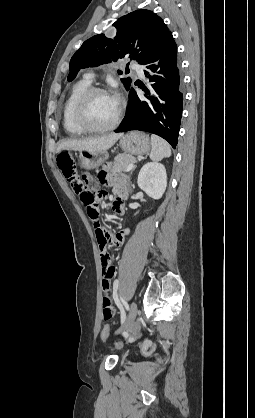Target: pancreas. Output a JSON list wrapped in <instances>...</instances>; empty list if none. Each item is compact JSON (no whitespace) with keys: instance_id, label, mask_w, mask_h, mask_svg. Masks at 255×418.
<instances>
[{"instance_id":"pancreas-1","label":"pancreas","mask_w":255,"mask_h":418,"mask_svg":"<svg viewBox=\"0 0 255 418\" xmlns=\"http://www.w3.org/2000/svg\"><path fill=\"white\" fill-rule=\"evenodd\" d=\"M136 162V158L132 155L128 154H120L114 158L113 167H112V174L118 175L122 171H125L126 168Z\"/></svg>"}]
</instances>
